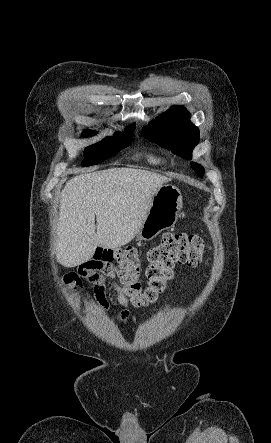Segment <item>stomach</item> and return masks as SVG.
Returning a JSON list of instances; mask_svg holds the SVG:
<instances>
[{"label": "stomach", "mask_w": 271, "mask_h": 443, "mask_svg": "<svg viewBox=\"0 0 271 443\" xmlns=\"http://www.w3.org/2000/svg\"><path fill=\"white\" fill-rule=\"evenodd\" d=\"M182 208L181 192L176 186L165 184L158 188L145 220L140 225L138 239H153L163 229L174 227Z\"/></svg>", "instance_id": "obj_1"}]
</instances>
